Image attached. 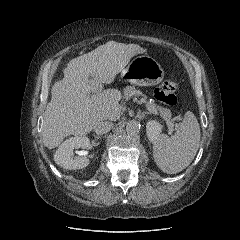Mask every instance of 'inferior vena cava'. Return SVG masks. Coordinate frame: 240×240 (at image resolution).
<instances>
[{
  "mask_svg": "<svg viewBox=\"0 0 240 240\" xmlns=\"http://www.w3.org/2000/svg\"><path fill=\"white\" fill-rule=\"evenodd\" d=\"M113 127V124L109 121H99L93 127L94 132L97 135H103L109 132Z\"/></svg>",
  "mask_w": 240,
  "mask_h": 240,
  "instance_id": "obj_1",
  "label": "inferior vena cava"
}]
</instances>
